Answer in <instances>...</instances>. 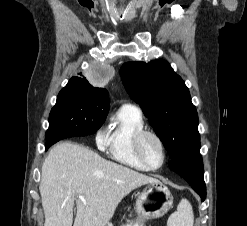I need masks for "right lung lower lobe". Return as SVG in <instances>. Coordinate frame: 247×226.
<instances>
[{"label":"right lung lower lobe","mask_w":247,"mask_h":226,"mask_svg":"<svg viewBox=\"0 0 247 226\" xmlns=\"http://www.w3.org/2000/svg\"><path fill=\"white\" fill-rule=\"evenodd\" d=\"M56 142H57L56 140H47L46 146H45L46 150H47L51 145H53V144L56 143Z\"/></svg>","instance_id":"98d812e1"}]
</instances>
